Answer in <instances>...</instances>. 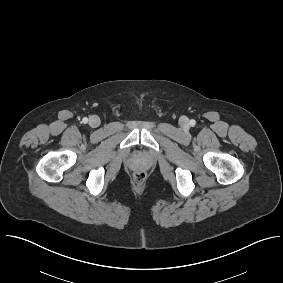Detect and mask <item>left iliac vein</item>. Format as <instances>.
<instances>
[{"instance_id":"4c4485c4","label":"left iliac vein","mask_w":283,"mask_h":283,"mask_svg":"<svg viewBox=\"0 0 283 283\" xmlns=\"http://www.w3.org/2000/svg\"><path fill=\"white\" fill-rule=\"evenodd\" d=\"M180 124L183 126V127H187L188 126V119L186 117H183L181 120H180Z\"/></svg>"}]
</instances>
